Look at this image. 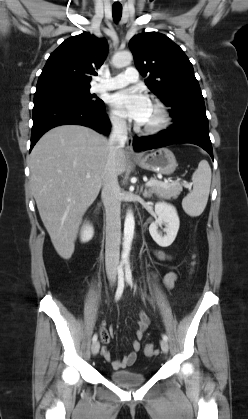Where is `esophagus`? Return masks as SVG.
<instances>
[{"instance_id":"esophagus-1","label":"esophagus","mask_w":248,"mask_h":419,"mask_svg":"<svg viewBox=\"0 0 248 419\" xmlns=\"http://www.w3.org/2000/svg\"><path fill=\"white\" fill-rule=\"evenodd\" d=\"M126 154H127V156H130V157H137V156H139V154H138V153H136V152L133 150V139H132V137H131V136H129V137L127 138V143H126Z\"/></svg>"}]
</instances>
